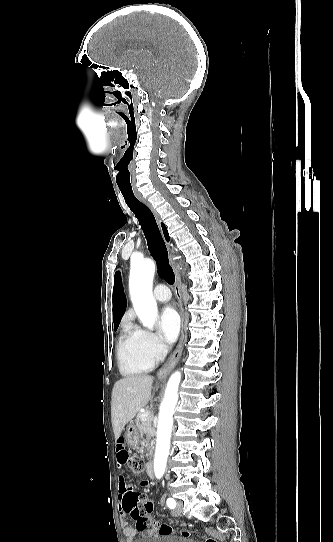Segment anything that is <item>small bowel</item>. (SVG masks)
Listing matches in <instances>:
<instances>
[{
	"label": "small bowel",
	"mask_w": 333,
	"mask_h": 542,
	"mask_svg": "<svg viewBox=\"0 0 333 542\" xmlns=\"http://www.w3.org/2000/svg\"><path fill=\"white\" fill-rule=\"evenodd\" d=\"M128 458V452L125 448V439L123 436H120L118 439V445H117V463L120 468H122L127 463ZM151 482L149 480H143L142 486L143 487H149ZM117 490H118V498H119V511L121 516L125 517L127 513H129L128 508H124L123 506V499L124 497L130 496V486L127 482V479L124 475L120 474L118 477V484H117ZM140 497L142 499H145L147 497V494L145 492H142L140 494ZM121 525L123 528V533L126 537V542H136L137 537V530L133 528L128 521L123 519L121 521Z\"/></svg>",
	"instance_id": "1"
}]
</instances>
